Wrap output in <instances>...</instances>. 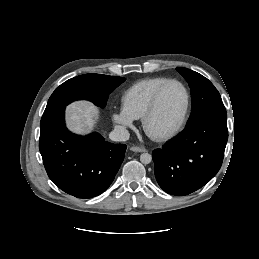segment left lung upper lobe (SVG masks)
Instances as JSON below:
<instances>
[{
    "label": "left lung upper lobe",
    "instance_id": "5c2ea615",
    "mask_svg": "<svg viewBox=\"0 0 259 259\" xmlns=\"http://www.w3.org/2000/svg\"><path fill=\"white\" fill-rule=\"evenodd\" d=\"M177 70L191 88L192 110L187 125L209 116H227L219 92L207 78L187 68Z\"/></svg>",
    "mask_w": 259,
    "mask_h": 259
}]
</instances>
